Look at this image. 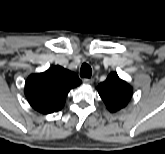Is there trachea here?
Instances as JSON below:
<instances>
[{
  "instance_id": "obj_1",
  "label": "trachea",
  "mask_w": 165,
  "mask_h": 154,
  "mask_svg": "<svg viewBox=\"0 0 165 154\" xmlns=\"http://www.w3.org/2000/svg\"><path fill=\"white\" fill-rule=\"evenodd\" d=\"M92 75V69L87 63H83L80 69V76L90 78Z\"/></svg>"
}]
</instances>
